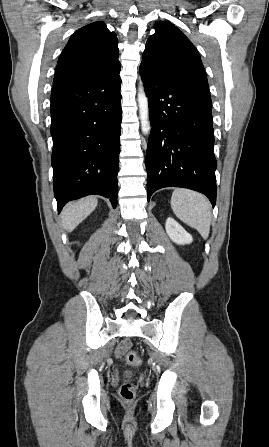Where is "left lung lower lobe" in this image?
<instances>
[{
  "label": "left lung lower lobe",
  "instance_id": "left-lung-lower-lobe-1",
  "mask_svg": "<svg viewBox=\"0 0 269 447\" xmlns=\"http://www.w3.org/2000/svg\"><path fill=\"white\" fill-rule=\"evenodd\" d=\"M152 125L146 168L147 195L163 187H183L216 202L217 167L211 98L201 89L141 63Z\"/></svg>",
  "mask_w": 269,
  "mask_h": 447
}]
</instances>
